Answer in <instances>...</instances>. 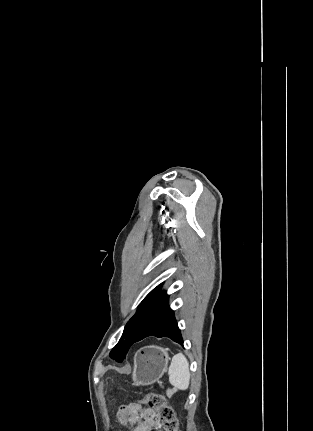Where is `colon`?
Masks as SVG:
<instances>
[{"label": "colon", "instance_id": "1", "mask_svg": "<svg viewBox=\"0 0 313 431\" xmlns=\"http://www.w3.org/2000/svg\"><path fill=\"white\" fill-rule=\"evenodd\" d=\"M147 403L158 416L156 431H178V422L173 408L168 405L165 397L158 393H148L144 397Z\"/></svg>", "mask_w": 313, "mask_h": 431}]
</instances>
